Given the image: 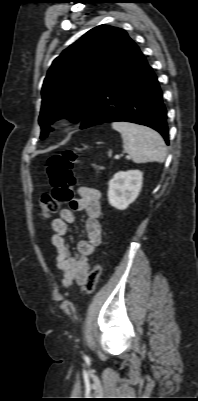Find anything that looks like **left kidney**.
<instances>
[{
    "instance_id": "obj_1",
    "label": "left kidney",
    "mask_w": 198,
    "mask_h": 401,
    "mask_svg": "<svg viewBox=\"0 0 198 401\" xmlns=\"http://www.w3.org/2000/svg\"><path fill=\"white\" fill-rule=\"evenodd\" d=\"M143 181L139 170L120 171L109 181L108 201L111 206L125 210L138 197Z\"/></svg>"
}]
</instances>
